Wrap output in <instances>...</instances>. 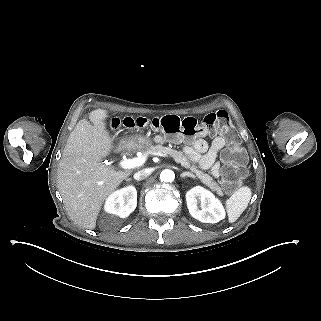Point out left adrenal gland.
I'll list each match as a JSON object with an SVG mask.
<instances>
[{"label":"left adrenal gland","instance_id":"a2214340","mask_svg":"<svg viewBox=\"0 0 321 321\" xmlns=\"http://www.w3.org/2000/svg\"><path fill=\"white\" fill-rule=\"evenodd\" d=\"M180 176L181 177H186L187 176V177L195 178V176L190 172H183V173H181Z\"/></svg>","mask_w":321,"mask_h":321}]
</instances>
